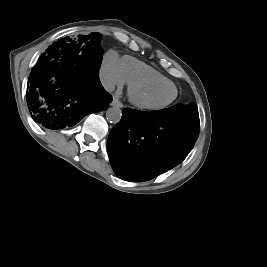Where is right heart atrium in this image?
<instances>
[{
	"mask_svg": "<svg viewBox=\"0 0 267 267\" xmlns=\"http://www.w3.org/2000/svg\"><path fill=\"white\" fill-rule=\"evenodd\" d=\"M100 78L106 89L121 87L125 83L121 60L114 51H109L104 56L100 68Z\"/></svg>",
	"mask_w": 267,
	"mask_h": 267,
	"instance_id": "right-heart-atrium-1",
	"label": "right heart atrium"
}]
</instances>
